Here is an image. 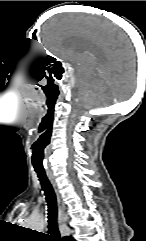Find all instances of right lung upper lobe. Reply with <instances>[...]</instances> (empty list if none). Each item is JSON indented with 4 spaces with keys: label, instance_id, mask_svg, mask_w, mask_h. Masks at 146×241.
I'll list each match as a JSON object with an SVG mask.
<instances>
[{
    "label": "right lung upper lobe",
    "instance_id": "1",
    "mask_svg": "<svg viewBox=\"0 0 146 241\" xmlns=\"http://www.w3.org/2000/svg\"><path fill=\"white\" fill-rule=\"evenodd\" d=\"M63 241H75L71 236L64 237Z\"/></svg>",
    "mask_w": 146,
    "mask_h": 241
}]
</instances>
